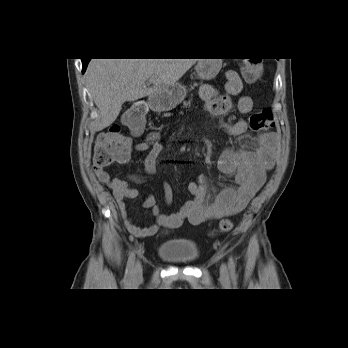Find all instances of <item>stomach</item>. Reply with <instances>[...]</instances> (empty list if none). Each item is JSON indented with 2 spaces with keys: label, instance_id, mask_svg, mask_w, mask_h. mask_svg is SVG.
<instances>
[{
  "label": "stomach",
  "instance_id": "0dacf381",
  "mask_svg": "<svg viewBox=\"0 0 348 348\" xmlns=\"http://www.w3.org/2000/svg\"><path fill=\"white\" fill-rule=\"evenodd\" d=\"M222 67L221 59H199L195 70L202 80H211L216 77ZM186 96L183 85L176 83L167 89L156 93L150 101L156 111H169L181 103Z\"/></svg>",
  "mask_w": 348,
  "mask_h": 348
}]
</instances>
